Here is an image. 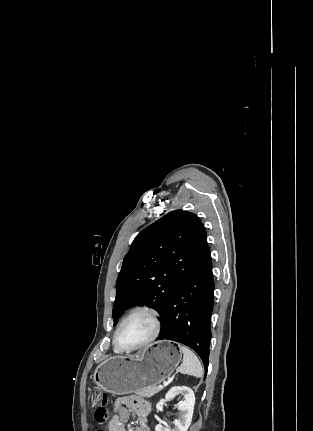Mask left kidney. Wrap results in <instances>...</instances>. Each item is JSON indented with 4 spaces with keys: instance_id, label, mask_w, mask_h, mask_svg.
<instances>
[{
    "instance_id": "obj_1",
    "label": "left kidney",
    "mask_w": 313,
    "mask_h": 431,
    "mask_svg": "<svg viewBox=\"0 0 313 431\" xmlns=\"http://www.w3.org/2000/svg\"><path fill=\"white\" fill-rule=\"evenodd\" d=\"M183 396L182 401L178 404L180 411L179 418L174 420V428H165L161 424L156 425L155 431H187L193 416L195 395L191 388L186 386L172 387L165 395L166 400H170L175 396Z\"/></svg>"
}]
</instances>
